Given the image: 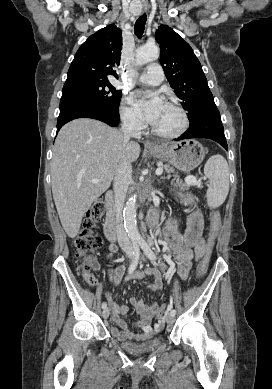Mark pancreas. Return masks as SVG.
<instances>
[{
	"instance_id": "obj_1",
	"label": "pancreas",
	"mask_w": 272,
	"mask_h": 389,
	"mask_svg": "<svg viewBox=\"0 0 272 389\" xmlns=\"http://www.w3.org/2000/svg\"><path fill=\"white\" fill-rule=\"evenodd\" d=\"M162 169H164L165 172L168 174L167 177H164V178H170L171 174H174V169L172 167H170L169 165H163ZM175 176L177 177L175 186L179 187L181 190H187L191 185H195V184H192V183L186 181V179L188 177L185 179V182H182L178 179L177 174H175Z\"/></svg>"
}]
</instances>
